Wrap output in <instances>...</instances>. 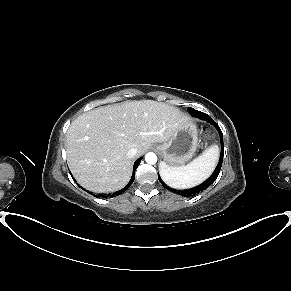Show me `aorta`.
Wrapping results in <instances>:
<instances>
[{"label": "aorta", "mask_w": 291, "mask_h": 291, "mask_svg": "<svg viewBox=\"0 0 291 291\" xmlns=\"http://www.w3.org/2000/svg\"><path fill=\"white\" fill-rule=\"evenodd\" d=\"M145 161L148 164H155L157 162V156L155 153L149 152L145 155Z\"/></svg>", "instance_id": "aorta-1"}]
</instances>
